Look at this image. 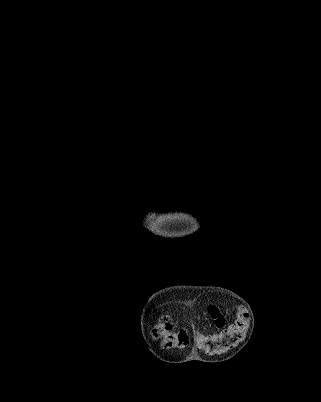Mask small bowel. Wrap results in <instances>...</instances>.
Segmentation results:
<instances>
[{"mask_svg":"<svg viewBox=\"0 0 321 402\" xmlns=\"http://www.w3.org/2000/svg\"><path fill=\"white\" fill-rule=\"evenodd\" d=\"M208 313H209V315L211 316V318L213 319L215 325L218 328H221V327H223L225 325V318L221 314L219 308L216 305L209 304Z\"/></svg>","mask_w":321,"mask_h":402,"instance_id":"c3829d8e","label":"small bowel"}]
</instances>
